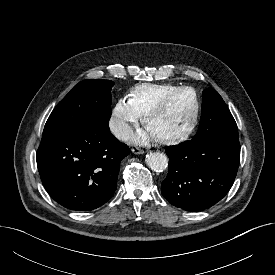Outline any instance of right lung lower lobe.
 <instances>
[{
	"label": "right lung lower lobe",
	"mask_w": 275,
	"mask_h": 275,
	"mask_svg": "<svg viewBox=\"0 0 275 275\" xmlns=\"http://www.w3.org/2000/svg\"><path fill=\"white\" fill-rule=\"evenodd\" d=\"M129 151L111 134L107 122L80 131L43 134L36 160L53 200L70 210L88 211L114 195L120 161Z\"/></svg>",
	"instance_id": "1"
}]
</instances>
